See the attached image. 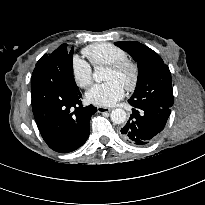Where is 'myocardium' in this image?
<instances>
[{
    "mask_svg": "<svg viewBox=\"0 0 205 205\" xmlns=\"http://www.w3.org/2000/svg\"><path fill=\"white\" fill-rule=\"evenodd\" d=\"M107 69H110L116 73H120V72H123L125 70H128L130 72V78L126 82V84L124 85L127 90L132 91L138 85L139 67L134 61H132L128 58L118 60L114 63L107 65Z\"/></svg>",
    "mask_w": 205,
    "mask_h": 205,
    "instance_id": "obj_1",
    "label": "myocardium"
}]
</instances>
